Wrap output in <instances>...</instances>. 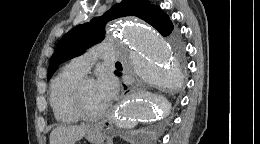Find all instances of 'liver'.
I'll return each instance as SVG.
<instances>
[{
	"mask_svg": "<svg viewBox=\"0 0 260 144\" xmlns=\"http://www.w3.org/2000/svg\"><path fill=\"white\" fill-rule=\"evenodd\" d=\"M86 125H63L52 130L50 144H75L88 131Z\"/></svg>",
	"mask_w": 260,
	"mask_h": 144,
	"instance_id": "6515ba94",
	"label": "liver"
}]
</instances>
